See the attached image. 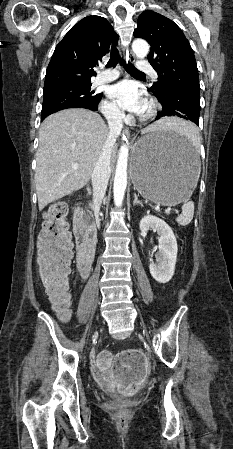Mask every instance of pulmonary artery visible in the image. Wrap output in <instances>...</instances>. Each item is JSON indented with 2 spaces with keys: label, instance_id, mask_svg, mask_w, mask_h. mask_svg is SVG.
I'll list each match as a JSON object with an SVG mask.
<instances>
[{
  "label": "pulmonary artery",
  "instance_id": "1",
  "mask_svg": "<svg viewBox=\"0 0 233 449\" xmlns=\"http://www.w3.org/2000/svg\"><path fill=\"white\" fill-rule=\"evenodd\" d=\"M138 67H139V69L150 73L153 79H155V80L157 79V77H158L157 73L153 70V68L148 63H146L144 61H140L138 63ZM118 77H119V72L115 69L103 71L96 76L94 83L96 85L105 84V83L114 81Z\"/></svg>",
  "mask_w": 233,
  "mask_h": 449
}]
</instances>
